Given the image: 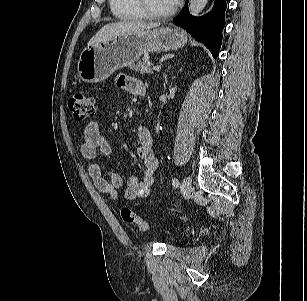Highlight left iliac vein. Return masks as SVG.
<instances>
[{
	"label": "left iliac vein",
	"mask_w": 307,
	"mask_h": 301,
	"mask_svg": "<svg viewBox=\"0 0 307 301\" xmlns=\"http://www.w3.org/2000/svg\"><path fill=\"white\" fill-rule=\"evenodd\" d=\"M181 187L185 195L189 196L191 194L192 183L190 177H184Z\"/></svg>",
	"instance_id": "4c4485c4"
}]
</instances>
